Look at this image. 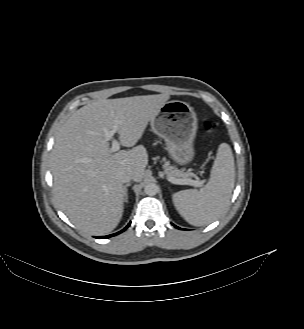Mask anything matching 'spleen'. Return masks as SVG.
I'll return each mask as SVG.
<instances>
[{"instance_id": "1", "label": "spleen", "mask_w": 304, "mask_h": 329, "mask_svg": "<svg viewBox=\"0 0 304 329\" xmlns=\"http://www.w3.org/2000/svg\"><path fill=\"white\" fill-rule=\"evenodd\" d=\"M234 182L235 164L232 150L227 143H222L219 145L209 182L200 190L188 189L174 193V206L189 224H209L227 208Z\"/></svg>"}]
</instances>
